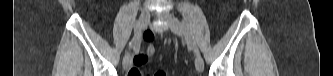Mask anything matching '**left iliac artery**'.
<instances>
[{
	"instance_id": "obj_1",
	"label": "left iliac artery",
	"mask_w": 333,
	"mask_h": 76,
	"mask_svg": "<svg viewBox=\"0 0 333 76\" xmlns=\"http://www.w3.org/2000/svg\"><path fill=\"white\" fill-rule=\"evenodd\" d=\"M186 34H187V38H186V40H187V44L193 48L194 52H195L197 55H200V53H199V49H198V47H197V45H196V42H195V40H194V37L192 36V34L189 32L188 29H187V31H186Z\"/></svg>"
}]
</instances>
